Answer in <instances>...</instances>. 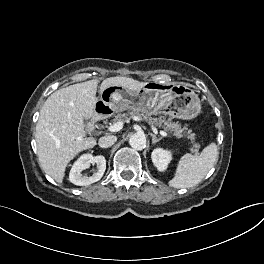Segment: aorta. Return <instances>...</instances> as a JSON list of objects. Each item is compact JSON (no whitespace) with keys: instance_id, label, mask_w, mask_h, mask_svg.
<instances>
[{"instance_id":"762f6f07","label":"aorta","mask_w":264,"mask_h":264,"mask_svg":"<svg viewBox=\"0 0 264 264\" xmlns=\"http://www.w3.org/2000/svg\"><path fill=\"white\" fill-rule=\"evenodd\" d=\"M129 144L135 150H143L146 146V137L144 134L135 133L131 135Z\"/></svg>"}]
</instances>
